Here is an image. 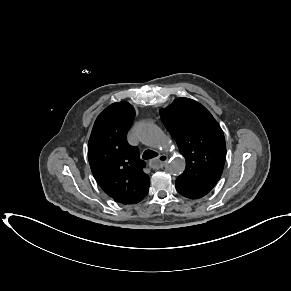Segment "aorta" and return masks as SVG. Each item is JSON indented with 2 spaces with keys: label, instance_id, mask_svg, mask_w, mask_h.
Masks as SVG:
<instances>
[{
  "label": "aorta",
  "instance_id": "obj_1",
  "mask_svg": "<svg viewBox=\"0 0 291 291\" xmlns=\"http://www.w3.org/2000/svg\"><path fill=\"white\" fill-rule=\"evenodd\" d=\"M140 141L152 148L161 152H167L171 146V140L164 132L153 123L144 124L139 130ZM186 166L185 159L180 157L171 158L167 165L166 170L173 175L181 174Z\"/></svg>",
  "mask_w": 291,
  "mask_h": 291
}]
</instances>
